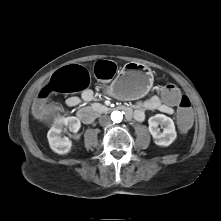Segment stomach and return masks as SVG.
<instances>
[{"label": "stomach", "instance_id": "1", "mask_svg": "<svg viewBox=\"0 0 221 221\" xmlns=\"http://www.w3.org/2000/svg\"><path fill=\"white\" fill-rule=\"evenodd\" d=\"M152 71L145 65L128 62L110 85V92L120 99H137L147 93L153 84Z\"/></svg>", "mask_w": 221, "mask_h": 221}]
</instances>
